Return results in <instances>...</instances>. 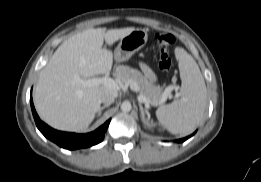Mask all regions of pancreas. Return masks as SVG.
I'll use <instances>...</instances> for the list:
<instances>
[{"label": "pancreas", "mask_w": 261, "mask_h": 182, "mask_svg": "<svg viewBox=\"0 0 261 182\" xmlns=\"http://www.w3.org/2000/svg\"><path fill=\"white\" fill-rule=\"evenodd\" d=\"M115 76L124 84H130L132 81L136 82L142 95L149 100L150 105L157 106L161 104L164 95L162 87L149 82L139 70L121 65L116 68Z\"/></svg>", "instance_id": "1"}]
</instances>
